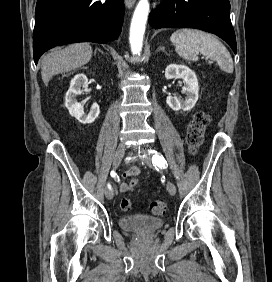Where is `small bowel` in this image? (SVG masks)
I'll return each mask as SVG.
<instances>
[{
    "label": "small bowel",
    "mask_w": 272,
    "mask_h": 282,
    "mask_svg": "<svg viewBox=\"0 0 272 282\" xmlns=\"http://www.w3.org/2000/svg\"><path fill=\"white\" fill-rule=\"evenodd\" d=\"M140 172V170L137 168V167H131L129 169V171L123 175V177H128V176H134V175H138ZM133 187L131 185H127L126 183H122L120 185V190L123 191V192H127V191H130Z\"/></svg>",
    "instance_id": "obj_1"
}]
</instances>
